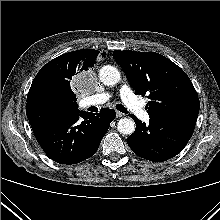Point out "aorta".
<instances>
[{"label": "aorta", "mask_w": 220, "mask_h": 220, "mask_svg": "<svg viewBox=\"0 0 220 220\" xmlns=\"http://www.w3.org/2000/svg\"><path fill=\"white\" fill-rule=\"evenodd\" d=\"M120 72L111 65H105L99 70L100 81L107 86H113L120 81ZM121 134L131 135L135 131V122L131 118H121L117 124Z\"/></svg>", "instance_id": "aorta-1"}]
</instances>
